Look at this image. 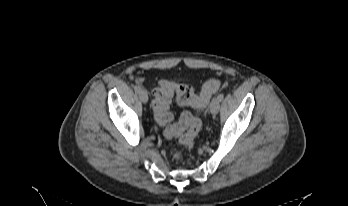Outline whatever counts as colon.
<instances>
[{"label":"colon","instance_id":"5ec220e1","mask_svg":"<svg viewBox=\"0 0 348 206\" xmlns=\"http://www.w3.org/2000/svg\"><path fill=\"white\" fill-rule=\"evenodd\" d=\"M222 87V83L216 79L208 80L202 88L200 95H196L193 88L183 84L163 82L155 91L153 108L157 123L162 127L167 139L179 137V142L187 148H191L201 128L200 120L190 112L182 113L177 124H171L173 115L169 110L172 97L175 95L177 103L181 106L204 108L210 98ZM186 132L184 133V131ZM182 151H175L173 157L181 159Z\"/></svg>","mask_w":348,"mask_h":206}]
</instances>
